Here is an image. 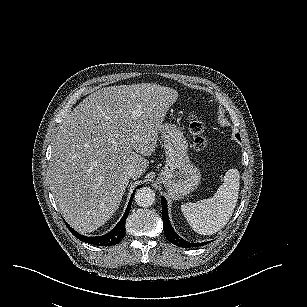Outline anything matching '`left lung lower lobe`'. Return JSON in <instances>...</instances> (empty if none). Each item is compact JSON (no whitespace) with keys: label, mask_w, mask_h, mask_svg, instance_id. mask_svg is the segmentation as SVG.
<instances>
[{"label":"left lung lower lobe","mask_w":307,"mask_h":307,"mask_svg":"<svg viewBox=\"0 0 307 307\" xmlns=\"http://www.w3.org/2000/svg\"><path fill=\"white\" fill-rule=\"evenodd\" d=\"M161 203H162V218H163V228H164V233L166 238L174 245L184 247V248H190V247H198V246H203L207 244L208 242H203V243H189L180 238L172 228L169 217H168V212H167V203L164 197H161Z\"/></svg>","instance_id":"0a47b994"}]
</instances>
